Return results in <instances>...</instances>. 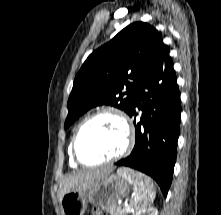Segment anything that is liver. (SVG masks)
Listing matches in <instances>:
<instances>
[{
  "mask_svg": "<svg viewBox=\"0 0 221 215\" xmlns=\"http://www.w3.org/2000/svg\"><path fill=\"white\" fill-rule=\"evenodd\" d=\"M111 171L112 169L110 168H102L66 176L62 180L59 199L61 200L62 196L70 191H82L90 189L98 181L108 176Z\"/></svg>",
  "mask_w": 221,
  "mask_h": 215,
  "instance_id": "1",
  "label": "liver"
}]
</instances>
